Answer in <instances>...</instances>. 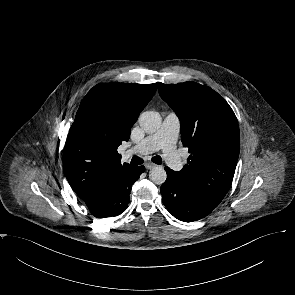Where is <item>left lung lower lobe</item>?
<instances>
[{"instance_id":"0a47b994","label":"left lung lower lobe","mask_w":295,"mask_h":295,"mask_svg":"<svg viewBox=\"0 0 295 295\" xmlns=\"http://www.w3.org/2000/svg\"><path fill=\"white\" fill-rule=\"evenodd\" d=\"M167 179L161 186L162 201L177 219L192 222L209 215L214 208L202 202L179 178L177 172L165 167Z\"/></svg>"}]
</instances>
